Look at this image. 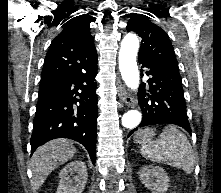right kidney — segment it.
<instances>
[{
    "label": "right kidney",
    "instance_id": "1",
    "mask_svg": "<svg viewBox=\"0 0 221 193\" xmlns=\"http://www.w3.org/2000/svg\"><path fill=\"white\" fill-rule=\"evenodd\" d=\"M87 168L82 161L68 163L59 173L56 193H82L87 182Z\"/></svg>",
    "mask_w": 221,
    "mask_h": 193
}]
</instances>
